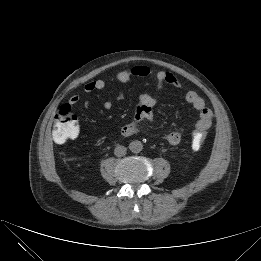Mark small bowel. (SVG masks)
Masks as SVG:
<instances>
[{"mask_svg":"<svg viewBox=\"0 0 261 261\" xmlns=\"http://www.w3.org/2000/svg\"><path fill=\"white\" fill-rule=\"evenodd\" d=\"M132 77L153 78L156 82V89L158 92H160L166 84L179 89L183 88L182 83L172 73L164 70L155 71L144 65H137L131 69L122 70L116 73V79L122 83L128 82ZM105 87L106 82L103 79H95L88 81L84 85V90L87 93H91L93 91H102ZM184 97L186 102L198 112V120L195 123V132L209 129L212 124L213 114L206 106L204 99L193 90H187ZM79 100V95H73L70 97L68 104L71 106L76 105ZM138 102L139 105L136 109L133 121L121 128V134L124 137H130L136 134L139 122L151 121L153 119L154 107L157 103L156 97L149 94H140L138 96ZM103 106L105 109L109 110L112 107V103L111 101L106 100L103 103ZM182 138L183 133L178 128H174L164 135V139L171 145L179 144Z\"/></svg>","mask_w":261,"mask_h":261,"instance_id":"small-bowel-1","label":"small bowel"}]
</instances>
